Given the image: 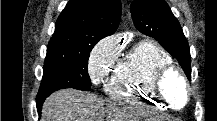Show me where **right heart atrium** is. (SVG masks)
Instances as JSON below:
<instances>
[{"label": "right heart atrium", "mask_w": 217, "mask_h": 121, "mask_svg": "<svg viewBox=\"0 0 217 121\" xmlns=\"http://www.w3.org/2000/svg\"><path fill=\"white\" fill-rule=\"evenodd\" d=\"M119 47L114 37L101 40L91 52L88 72L94 84H99L116 61Z\"/></svg>", "instance_id": "1"}]
</instances>
